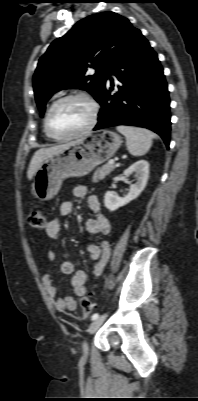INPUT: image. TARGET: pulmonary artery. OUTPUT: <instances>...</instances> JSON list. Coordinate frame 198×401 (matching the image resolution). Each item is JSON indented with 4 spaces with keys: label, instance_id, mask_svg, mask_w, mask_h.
Segmentation results:
<instances>
[{
    "label": "pulmonary artery",
    "instance_id": "e3ab8cb5",
    "mask_svg": "<svg viewBox=\"0 0 198 401\" xmlns=\"http://www.w3.org/2000/svg\"><path fill=\"white\" fill-rule=\"evenodd\" d=\"M112 78H115L114 75H111Z\"/></svg>",
    "mask_w": 198,
    "mask_h": 401
}]
</instances>
